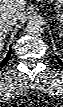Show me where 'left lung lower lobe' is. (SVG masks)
Wrapping results in <instances>:
<instances>
[{"mask_svg":"<svg viewBox=\"0 0 63 107\" xmlns=\"http://www.w3.org/2000/svg\"><path fill=\"white\" fill-rule=\"evenodd\" d=\"M57 60L60 62L61 65H63V62L56 56Z\"/></svg>","mask_w":63,"mask_h":107,"instance_id":"obj_1","label":"left lung lower lobe"}]
</instances>
